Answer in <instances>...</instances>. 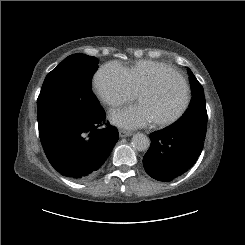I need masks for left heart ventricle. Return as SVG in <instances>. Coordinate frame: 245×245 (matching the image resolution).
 I'll list each match as a JSON object with an SVG mask.
<instances>
[{"mask_svg": "<svg viewBox=\"0 0 245 245\" xmlns=\"http://www.w3.org/2000/svg\"><path fill=\"white\" fill-rule=\"evenodd\" d=\"M160 91L142 94L138 103L150 112L153 121L167 119L176 114L184 104V88L174 75H166L158 79Z\"/></svg>", "mask_w": 245, "mask_h": 245, "instance_id": "1", "label": "left heart ventricle"}]
</instances>
